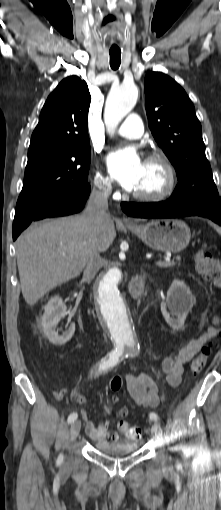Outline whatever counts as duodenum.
Masks as SVG:
<instances>
[{"instance_id": "obj_1", "label": "duodenum", "mask_w": 221, "mask_h": 510, "mask_svg": "<svg viewBox=\"0 0 221 510\" xmlns=\"http://www.w3.org/2000/svg\"><path fill=\"white\" fill-rule=\"evenodd\" d=\"M145 277L143 275L136 276L130 283L129 291L134 299L139 298L144 292Z\"/></svg>"}]
</instances>
